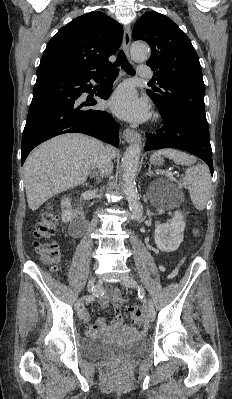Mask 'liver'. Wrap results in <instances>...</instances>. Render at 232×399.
Instances as JSON below:
<instances>
[{"mask_svg": "<svg viewBox=\"0 0 232 399\" xmlns=\"http://www.w3.org/2000/svg\"><path fill=\"white\" fill-rule=\"evenodd\" d=\"M102 150L112 158L116 156L112 146L104 148L99 140L82 134H62L37 146L23 166L30 209L34 211L52 196L84 184Z\"/></svg>", "mask_w": 232, "mask_h": 399, "instance_id": "liver-1", "label": "liver"}]
</instances>
